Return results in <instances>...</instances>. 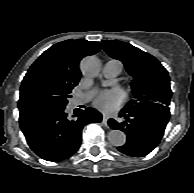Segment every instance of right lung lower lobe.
Returning a JSON list of instances; mask_svg holds the SVG:
<instances>
[{
    "label": "right lung lower lobe",
    "instance_id": "1",
    "mask_svg": "<svg viewBox=\"0 0 194 193\" xmlns=\"http://www.w3.org/2000/svg\"><path fill=\"white\" fill-rule=\"evenodd\" d=\"M70 120L64 108L20 111L19 123L30 148L42 159L61 161L80 147L82 129L89 123L101 122L102 115L87 108Z\"/></svg>",
    "mask_w": 194,
    "mask_h": 193
}]
</instances>
